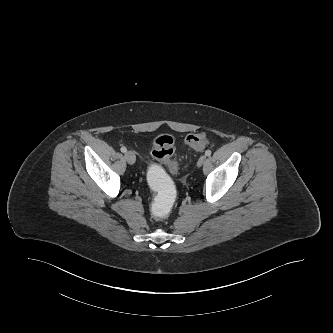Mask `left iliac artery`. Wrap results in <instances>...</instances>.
Masks as SVG:
<instances>
[{"label":"left iliac artery","mask_w":333,"mask_h":333,"mask_svg":"<svg viewBox=\"0 0 333 333\" xmlns=\"http://www.w3.org/2000/svg\"><path fill=\"white\" fill-rule=\"evenodd\" d=\"M211 153H212V152H211L210 150H206V151H205V155H206V156H210Z\"/></svg>","instance_id":"obj_1"}]
</instances>
